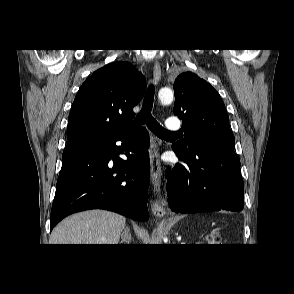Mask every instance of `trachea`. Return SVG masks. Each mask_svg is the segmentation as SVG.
<instances>
[{"label":"trachea","mask_w":294,"mask_h":294,"mask_svg":"<svg viewBox=\"0 0 294 294\" xmlns=\"http://www.w3.org/2000/svg\"><path fill=\"white\" fill-rule=\"evenodd\" d=\"M154 101V88L150 87L146 93L142 111L139 113L137 123L146 124L148 128L158 137L165 138L171 135H176V132H171L163 128L156 119L152 116V107Z\"/></svg>","instance_id":"trachea-1"}]
</instances>
